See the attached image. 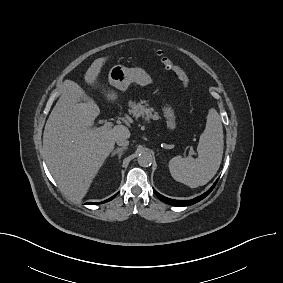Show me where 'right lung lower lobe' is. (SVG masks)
<instances>
[{"label":"right lung lower lobe","mask_w":283,"mask_h":283,"mask_svg":"<svg viewBox=\"0 0 283 283\" xmlns=\"http://www.w3.org/2000/svg\"><path fill=\"white\" fill-rule=\"evenodd\" d=\"M115 196H116V195H114L113 197H111V198H109V199H107V200H105V201H103V202H101V203L111 201ZM101 203H93V204H101Z\"/></svg>","instance_id":"obj_1"}]
</instances>
